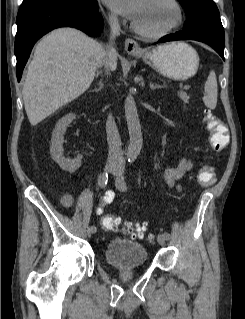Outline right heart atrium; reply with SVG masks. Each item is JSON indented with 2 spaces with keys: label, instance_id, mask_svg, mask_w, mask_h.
<instances>
[{
  "label": "right heart atrium",
  "instance_id": "right-heart-atrium-1",
  "mask_svg": "<svg viewBox=\"0 0 245 319\" xmlns=\"http://www.w3.org/2000/svg\"><path fill=\"white\" fill-rule=\"evenodd\" d=\"M110 20H111L112 23L116 22L117 19H116L115 14H113V13L110 14Z\"/></svg>",
  "mask_w": 245,
  "mask_h": 319
}]
</instances>
